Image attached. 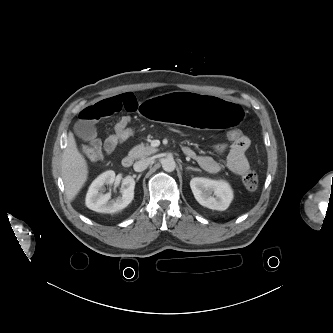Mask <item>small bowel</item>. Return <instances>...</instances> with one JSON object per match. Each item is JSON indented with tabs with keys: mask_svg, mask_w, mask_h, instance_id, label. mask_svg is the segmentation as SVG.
I'll list each match as a JSON object with an SVG mask.
<instances>
[{
	"mask_svg": "<svg viewBox=\"0 0 333 333\" xmlns=\"http://www.w3.org/2000/svg\"><path fill=\"white\" fill-rule=\"evenodd\" d=\"M137 108L138 102L135 96L131 93H124L100 100L92 105L82 108L79 112V118L85 125H90L99 119L110 116L116 112H135ZM130 122V116L121 117L115 126V130ZM85 140L87 145L84 149L92 148L108 154L112 153L120 143L116 132L110 135L105 142L102 143L93 132L89 131L85 133ZM249 146L250 140L246 136L231 143L226 159V167L230 171L238 175H244L247 172L249 169V162L246 157V152ZM184 149L189 151V157L196 160L201 168L209 173H217L223 168V165L211 156L198 155L189 147H185Z\"/></svg>",
	"mask_w": 333,
	"mask_h": 333,
	"instance_id": "1",
	"label": "small bowel"
}]
</instances>
